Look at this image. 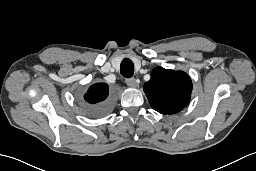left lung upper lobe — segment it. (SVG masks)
Masks as SVG:
<instances>
[{
  "label": "left lung upper lobe",
  "instance_id": "5c2ea615",
  "mask_svg": "<svg viewBox=\"0 0 256 171\" xmlns=\"http://www.w3.org/2000/svg\"><path fill=\"white\" fill-rule=\"evenodd\" d=\"M143 90L154 110L174 114L188 104L192 81L185 72L158 67L152 70L151 79L144 84Z\"/></svg>",
  "mask_w": 256,
  "mask_h": 171
}]
</instances>
